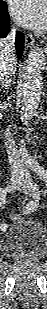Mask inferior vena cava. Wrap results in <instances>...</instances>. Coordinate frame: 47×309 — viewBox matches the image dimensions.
I'll return each instance as SVG.
<instances>
[{"label":"inferior vena cava","mask_w":47,"mask_h":309,"mask_svg":"<svg viewBox=\"0 0 47 309\" xmlns=\"http://www.w3.org/2000/svg\"><path fill=\"white\" fill-rule=\"evenodd\" d=\"M15 30L13 29L6 38L0 40V79L10 83L15 75V48H14ZM6 146L8 158L11 165L19 169L21 165L18 163L19 156L15 147V142L9 132L6 136Z\"/></svg>","instance_id":"1"}]
</instances>
